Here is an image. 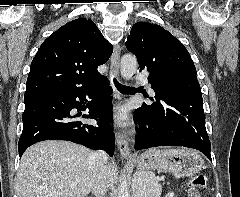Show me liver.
Instances as JSON below:
<instances>
[{"mask_svg": "<svg viewBox=\"0 0 240 197\" xmlns=\"http://www.w3.org/2000/svg\"><path fill=\"white\" fill-rule=\"evenodd\" d=\"M93 151L69 141L34 144L22 155L16 175L17 197H84L95 175ZM115 166L108 163L107 181L113 185ZM74 185L73 188L70 186Z\"/></svg>", "mask_w": 240, "mask_h": 197, "instance_id": "obj_1", "label": "liver"}]
</instances>
